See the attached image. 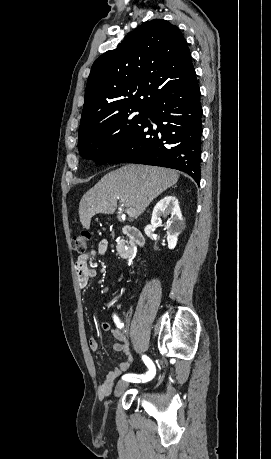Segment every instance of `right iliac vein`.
<instances>
[{"instance_id":"right-iliac-vein-1","label":"right iliac vein","mask_w":271,"mask_h":459,"mask_svg":"<svg viewBox=\"0 0 271 459\" xmlns=\"http://www.w3.org/2000/svg\"><path fill=\"white\" fill-rule=\"evenodd\" d=\"M129 386V383L125 380H121L118 382V384L115 387L114 394L115 396L121 395Z\"/></svg>"}]
</instances>
